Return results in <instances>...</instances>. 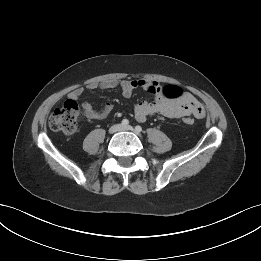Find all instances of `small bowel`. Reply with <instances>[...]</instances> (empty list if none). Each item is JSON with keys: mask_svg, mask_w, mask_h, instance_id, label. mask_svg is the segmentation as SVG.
Returning <instances> with one entry per match:
<instances>
[{"mask_svg": "<svg viewBox=\"0 0 261 261\" xmlns=\"http://www.w3.org/2000/svg\"><path fill=\"white\" fill-rule=\"evenodd\" d=\"M89 90L97 88L108 90L120 88L122 95L130 97L137 88H142L155 97L153 102H139L134 109L135 118L138 122H144L148 116L160 114L167 118H185V117H204L205 111L202 104L189 92H184L178 99H169L164 95V87L157 81L148 79L119 80L108 79L102 82H91L87 85ZM84 89L77 88L68 94L69 100L76 101L82 95ZM84 114L92 120H101L106 118L112 111L113 105L106 103L101 109L88 102L82 105Z\"/></svg>", "mask_w": 261, "mask_h": 261, "instance_id": "1", "label": "small bowel"}]
</instances>
